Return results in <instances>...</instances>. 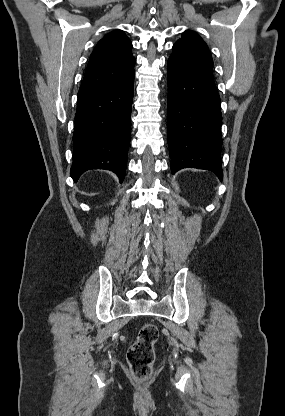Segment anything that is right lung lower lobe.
I'll list each match as a JSON object with an SVG mask.
<instances>
[{"mask_svg": "<svg viewBox=\"0 0 285 416\" xmlns=\"http://www.w3.org/2000/svg\"><path fill=\"white\" fill-rule=\"evenodd\" d=\"M134 76L135 72L108 88L78 97L70 170L75 182L90 169L110 170L124 179Z\"/></svg>", "mask_w": 285, "mask_h": 416, "instance_id": "right-lung-lower-lobe-1", "label": "right lung lower lobe"}]
</instances>
